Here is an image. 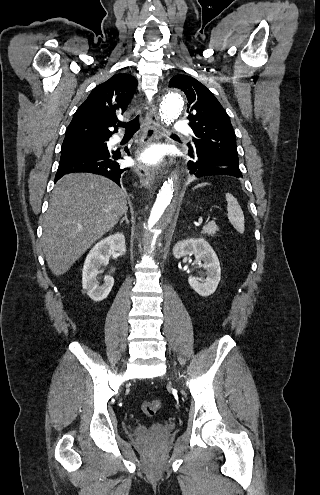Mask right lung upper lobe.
<instances>
[{"instance_id": "cb5924a9", "label": "right lung upper lobe", "mask_w": 320, "mask_h": 495, "mask_svg": "<svg viewBox=\"0 0 320 495\" xmlns=\"http://www.w3.org/2000/svg\"><path fill=\"white\" fill-rule=\"evenodd\" d=\"M137 79L130 74H115L96 86L77 109L64 141L84 138H110L117 131V115L125 112L135 94ZM115 127L114 131L110 128Z\"/></svg>"}]
</instances>
